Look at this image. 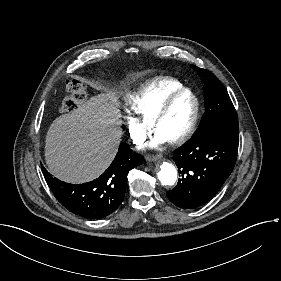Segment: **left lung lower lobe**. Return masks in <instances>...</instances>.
I'll return each mask as SVG.
<instances>
[{"mask_svg":"<svg viewBox=\"0 0 281 281\" xmlns=\"http://www.w3.org/2000/svg\"><path fill=\"white\" fill-rule=\"evenodd\" d=\"M238 151V130L200 128L192 139L174 152L178 184L168 199L184 209L197 208L219 191L231 174Z\"/></svg>","mask_w":281,"mask_h":281,"instance_id":"obj_1","label":"left lung lower lobe"}]
</instances>
